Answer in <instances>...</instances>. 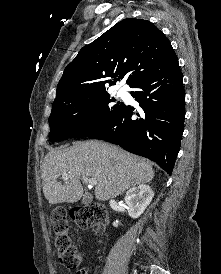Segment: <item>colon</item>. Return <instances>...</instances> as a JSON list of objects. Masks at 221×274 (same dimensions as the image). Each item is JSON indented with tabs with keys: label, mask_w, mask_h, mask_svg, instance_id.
Returning a JSON list of instances; mask_svg holds the SVG:
<instances>
[{
	"label": "colon",
	"mask_w": 221,
	"mask_h": 274,
	"mask_svg": "<svg viewBox=\"0 0 221 274\" xmlns=\"http://www.w3.org/2000/svg\"><path fill=\"white\" fill-rule=\"evenodd\" d=\"M67 214L65 208L56 207L51 212L50 223L55 234L59 261L65 268L73 270L79 267L82 257L79 249L72 245L69 238ZM70 217L79 228H93L97 232H101L107 223L106 209L98 203L73 208ZM77 274H82V272Z\"/></svg>",
	"instance_id": "1"
}]
</instances>
